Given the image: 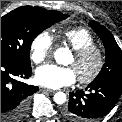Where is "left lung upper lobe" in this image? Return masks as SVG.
<instances>
[{
  "label": "left lung upper lobe",
  "instance_id": "left-lung-upper-lobe-1",
  "mask_svg": "<svg viewBox=\"0 0 122 122\" xmlns=\"http://www.w3.org/2000/svg\"><path fill=\"white\" fill-rule=\"evenodd\" d=\"M89 25L101 38L106 51L105 64L91 84L110 80L122 81V51L116 43L113 35L107 28L96 21L89 22Z\"/></svg>",
  "mask_w": 122,
  "mask_h": 122
}]
</instances>
